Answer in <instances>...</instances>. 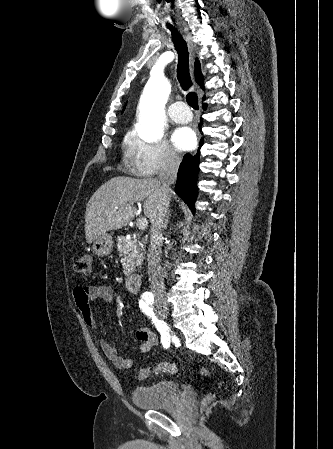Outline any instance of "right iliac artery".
I'll use <instances>...</instances> for the list:
<instances>
[{"instance_id":"82829eb1","label":"right iliac artery","mask_w":333,"mask_h":449,"mask_svg":"<svg viewBox=\"0 0 333 449\" xmlns=\"http://www.w3.org/2000/svg\"><path fill=\"white\" fill-rule=\"evenodd\" d=\"M153 301H154L153 295L145 293V294H143L142 299L139 301V306H140L141 310L146 315H148L150 318H152V322L154 323V325L157 327V329L162 334L163 346L165 348H168L170 343H169V338H168L167 334L164 335V332H163V326L164 325H162L160 320L159 321L157 320V318L155 317L154 313L152 312V309L149 308V305H151L153 303Z\"/></svg>"}]
</instances>
